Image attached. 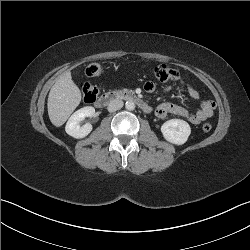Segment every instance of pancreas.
I'll return each instance as SVG.
<instances>
[{
    "label": "pancreas",
    "instance_id": "pancreas-1",
    "mask_svg": "<svg viewBox=\"0 0 250 250\" xmlns=\"http://www.w3.org/2000/svg\"><path fill=\"white\" fill-rule=\"evenodd\" d=\"M120 93H121V91L117 92V94H120Z\"/></svg>",
    "mask_w": 250,
    "mask_h": 250
}]
</instances>
